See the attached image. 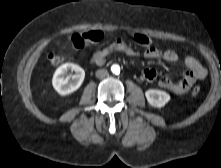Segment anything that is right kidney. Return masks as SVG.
I'll return each instance as SVG.
<instances>
[{
	"label": "right kidney",
	"instance_id": "ca27d5eb",
	"mask_svg": "<svg viewBox=\"0 0 221 168\" xmlns=\"http://www.w3.org/2000/svg\"><path fill=\"white\" fill-rule=\"evenodd\" d=\"M74 71L72 76L68 75L69 71ZM85 78L84 70L73 63L61 65L54 73L52 85L54 89L62 96L69 95L76 91L83 83Z\"/></svg>",
	"mask_w": 221,
	"mask_h": 168
}]
</instances>
